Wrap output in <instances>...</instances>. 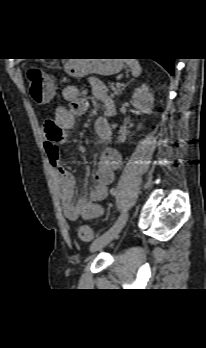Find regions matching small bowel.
<instances>
[{"instance_id":"c3829d8e","label":"small bowel","mask_w":206,"mask_h":348,"mask_svg":"<svg viewBox=\"0 0 206 348\" xmlns=\"http://www.w3.org/2000/svg\"><path fill=\"white\" fill-rule=\"evenodd\" d=\"M92 90L93 95L107 109L113 107L102 83L92 81ZM62 96L68 102V106H58L54 119L47 121L44 126V152L53 172L55 187L65 217L69 221H77L80 218L93 219L101 214L100 204L106 198L107 187L112 183L114 172L121 166L122 159L115 149L103 151L94 174L95 183L90 189L89 196L74 198L76 179L73 174L62 167L60 150L65 144L67 132L75 124V117L87 111L89 100L87 95L74 85L66 86L62 90ZM94 129L98 135H111L110 124L105 118L96 119Z\"/></svg>"}]
</instances>
